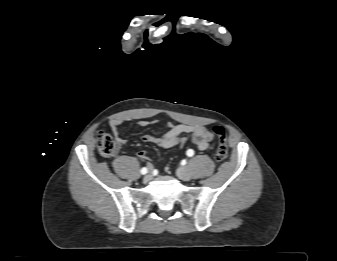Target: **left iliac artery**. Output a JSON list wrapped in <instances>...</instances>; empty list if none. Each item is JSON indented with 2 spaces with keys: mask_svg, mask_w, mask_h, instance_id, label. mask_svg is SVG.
Segmentation results:
<instances>
[{
  "mask_svg": "<svg viewBox=\"0 0 337 261\" xmlns=\"http://www.w3.org/2000/svg\"><path fill=\"white\" fill-rule=\"evenodd\" d=\"M187 155L192 157L194 155V151L192 149L187 150Z\"/></svg>",
  "mask_w": 337,
  "mask_h": 261,
  "instance_id": "44dca946",
  "label": "left iliac artery"
}]
</instances>
